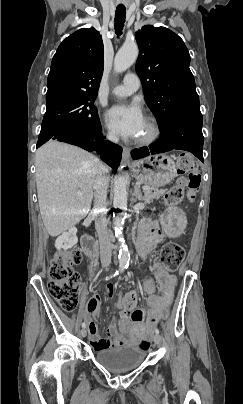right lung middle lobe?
<instances>
[{
  "label": "right lung middle lobe",
  "mask_w": 243,
  "mask_h": 404,
  "mask_svg": "<svg viewBox=\"0 0 243 404\" xmlns=\"http://www.w3.org/2000/svg\"><path fill=\"white\" fill-rule=\"evenodd\" d=\"M95 98L63 99L47 104L37 147L47 142L56 132L66 126L100 129L97 108L93 105Z\"/></svg>",
  "instance_id": "obj_1"
}]
</instances>
